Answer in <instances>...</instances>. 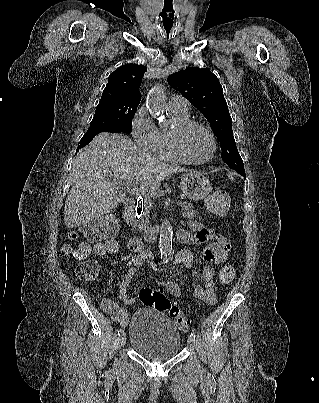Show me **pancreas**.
I'll return each mask as SVG.
<instances>
[{
    "mask_svg": "<svg viewBox=\"0 0 319 403\" xmlns=\"http://www.w3.org/2000/svg\"><path fill=\"white\" fill-rule=\"evenodd\" d=\"M152 209V202L147 201L144 205L142 214L140 217L134 222V228H138L140 230H146L149 227L150 223V210ZM181 214L185 218L192 219L198 215V212L193 208L191 204H184L181 206Z\"/></svg>",
    "mask_w": 319,
    "mask_h": 403,
    "instance_id": "cf45deb5",
    "label": "pancreas"
}]
</instances>
